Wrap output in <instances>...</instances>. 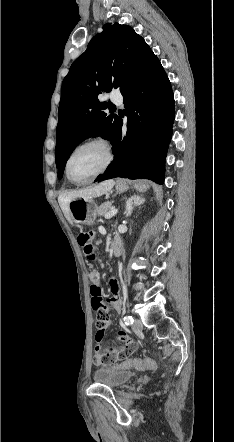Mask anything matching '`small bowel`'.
<instances>
[{"label":"small bowel","mask_w":234,"mask_h":442,"mask_svg":"<svg viewBox=\"0 0 234 442\" xmlns=\"http://www.w3.org/2000/svg\"><path fill=\"white\" fill-rule=\"evenodd\" d=\"M109 289L112 297L108 300V307L114 312H120L122 309V302L118 298L120 292V285L115 278L109 279ZM98 286L99 282L97 283ZM110 325L109 314H96L94 320L95 340L97 345L95 347V364H104L105 367H111L112 364H116L117 361L121 362L128 359L129 356H133L136 353L139 344L132 342V338H129L126 333L118 332L117 339L121 341L119 347H115L109 341L104 340V333L106 328ZM129 340V341H127ZM126 341V342H125ZM121 366V365H120Z\"/></svg>","instance_id":"small-bowel-1"}]
</instances>
